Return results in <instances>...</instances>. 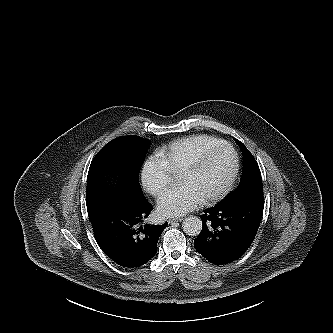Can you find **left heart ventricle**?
Wrapping results in <instances>:
<instances>
[{"instance_id":"obj_1","label":"left heart ventricle","mask_w":333,"mask_h":333,"mask_svg":"<svg viewBox=\"0 0 333 333\" xmlns=\"http://www.w3.org/2000/svg\"><path fill=\"white\" fill-rule=\"evenodd\" d=\"M234 166L230 149L222 148L213 153L195 173L179 176L181 184L193 187L203 198L218 191L228 180Z\"/></svg>"}]
</instances>
